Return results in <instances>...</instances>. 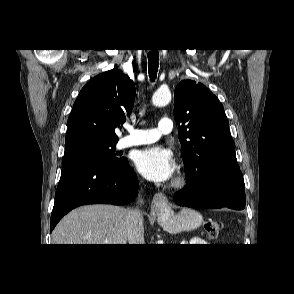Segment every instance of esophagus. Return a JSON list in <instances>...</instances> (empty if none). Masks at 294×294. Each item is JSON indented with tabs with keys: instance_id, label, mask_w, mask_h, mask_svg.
<instances>
[{
	"instance_id": "obj_1",
	"label": "esophagus",
	"mask_w": 294,
	"mask_h": 294,
	"mask_svg": "<svg viewBox=\"0 0 294 294\" xmlns=\"http://www.w3.org/2000/svg\"><path fill=\"white\" fill-rule=\"evenodd\" d=\"M171 211H172L171 204L169 203L166 195H164L161 192L156 193L153 198L151 214L154 217H156L157 215L170 213Z\"/></svg>"
}]
</instances>
